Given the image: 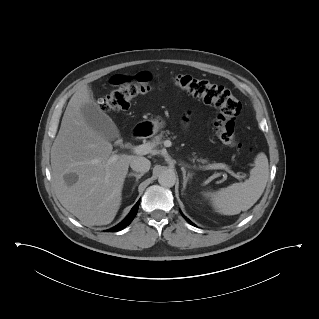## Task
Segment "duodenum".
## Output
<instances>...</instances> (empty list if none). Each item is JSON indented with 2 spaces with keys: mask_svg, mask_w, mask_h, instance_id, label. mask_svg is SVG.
Instances as JSON below:
<instances>
[{
  "mask_svg": "<svg viewBox=\"0 0 319 319\" xmlns=\"http://www.w3.org/2000/svg\"><path fill=\"white\" fill-rule=\"evenodd\" d=\"M148 127L146 125H141L134 130L133 137L140 138L148 134Z\"/></svg>",
  "mask_w": 319,
  "mask_h": 319,
  "instance_id": "1",
  "label": "duodenum"
}]
</instances>
